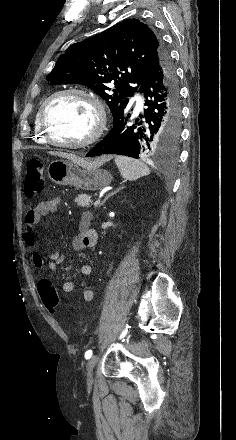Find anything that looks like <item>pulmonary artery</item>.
<instances>
[{
	"label": "pulmonary artery",
	"instance_id": "e3ab8cb5",
	"mask_svg": "<svg viewBox=\"0 0 236 440\" xmlns=\"http://www.w3.org/2000/svg\"><path fill=\"white\" fill-rule=\"evenodd\" d=\"M134 100H136V109L137 111L141 110L142 108V100L141 97L139 95H137Z\"/></svg>",
	"mask_w": 236,
	"mask_h": 440
}]
</instances>
